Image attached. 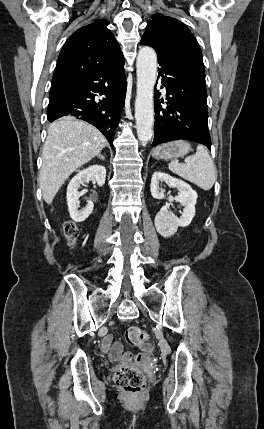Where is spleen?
Instances as JSON below:
<instances>
[{
	"mask_svg": "<svg viewBox=\"0 0 264 429\" xmlns=\"http://www.w3.org/2000/svg\"><path fill=\"white\" fill-rule=\"evenodd\" d=\"M169 169L205 191L212 188L217 177L213 160L202 145L197 146L196 153L187 157L185 163L170 162Z\"/></svg>",
	"mask_w": 264,
	"mask_h": 429,
	"instance_id": "1",
	"label": "spleen"
}]
</instances>
